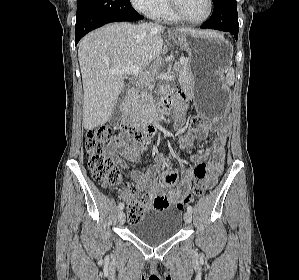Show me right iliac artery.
<instances>
[{
	"label": "right iliac artery",
	"mask_w": 299,
	"mask_h": 280,
	"mask_svg": "<svg viewBox=\"0 0 299 280\" xmlns=\"http://www.w3.org/2000/svg\"><path fill=\"white\" fill-rule=\"evenodd\" d=\"M118 208H119V210H122V209L124 208V203H120V204L118 205Z\"/></svg>",
	"instance_id": "82829eb1"
}]
</instances>
